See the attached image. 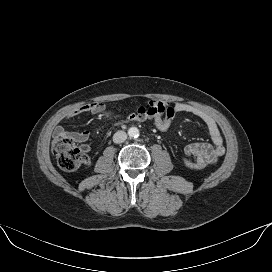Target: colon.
I'll use <instances>...</instances> for the list:
<instances>
[{
	"label": "colon",
	"instance_id": "5ec220e1",
	"mask_svg": "<svg viewBox=\"0 0 272 272\" xmlns=\"http://www.w3.org/2000/svg\"><path fill=\"white\" fill-rule=\"evenodd\" d=\"M143 119L150 122L161 131L168 130L175 116V109L167 106L163 111L143 112ZM52 153L58 165L66 171H73L89 163V157L74 140L66 135L57 136L52 144ZM184 164L191 169H202L205 166L194 159L183 157Z\"/></svg>",
	"mask_w": 272,
	"mask_h": 272
}]
</instances>
